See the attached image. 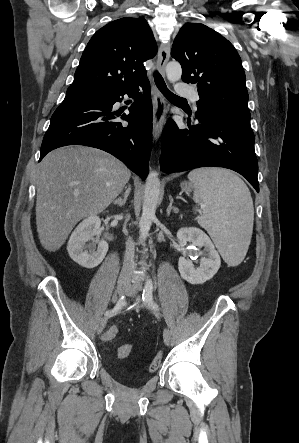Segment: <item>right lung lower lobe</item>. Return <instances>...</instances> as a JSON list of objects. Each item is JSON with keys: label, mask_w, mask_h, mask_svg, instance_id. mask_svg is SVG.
I'll use <instances>...</instances> for the list:
<instances>
[{"label": "right lung lower lobe", "mask_w": 299, "mask_h": 443, "mask_svg": "<svg viewBox=\"0 0 299 443\" xmlns=\"http://www.w3.org/2000/svg\"><path fill=\"white\" fill-rule=\"evenodd\" d=\"M143 87V94L129 108V115L112 112L114 103L124 94L133 96ZM130 88L106 91L103 98L65 97L55 110L43 138L40 160L58 147L85 145L104 150L123 161L143 180L147 177L151 153L152 102L147 80Z\"/></svg>", "instance_id": "obj_1"}]
</instances>
